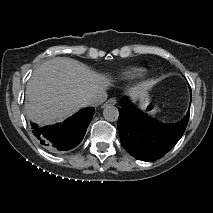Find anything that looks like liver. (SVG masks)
Returning <instances> with one entry per match:
<instances>
[{
  "instance_id": "obj_1",
  "label": "liver",
  "mask_w": 213,
  "mask_h": 213,
  "mask_svg": "<svg viewBox=\"0 0 213 213\" xmlns=\"http://www.w3.org/2000/svg\"><path fill=\"white\" fill-rule=\"evenodd\" d=\"M110 80L68 57L50 59L33 71L26 86L28 114L40 124L62 121L81 108L85 100L105 91ZM148 83L132 88L134 98L146 95Z\"/></svg>"
}]
</instances>
